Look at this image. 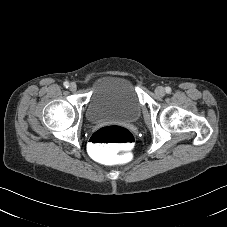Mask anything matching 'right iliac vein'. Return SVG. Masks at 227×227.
<instances>
[{"label":"right iliac vein","instance_id":"63e3f726","mask_svg":"<svg viewBox=\"0 0 227 227\" xmlns=\"http://www.w3.org/2000/svg\"><path fill=\"white\" fill-rule=\"evenodd\" d=\"M69 89H70V91H72V92L76 91V90H77V85H76V83H71V84L69 85Z\"/></svg>","mask_w":227,"mask_h":227}]
</instances>
